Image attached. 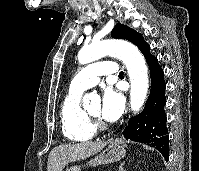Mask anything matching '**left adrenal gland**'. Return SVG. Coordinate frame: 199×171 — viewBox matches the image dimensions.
Segmentation results:
<instances>
[{
	"instance_id": "1",
	"label": "left adrenal gland",
	"mask_w": 199,
	"mask_h": 171,
	"mask_svg": "<svg viewBox=\"0 0 199 171\" xmlns=\"http://www.w3.org/2000/svg\"><path fill=\"white\" fill-rule=\"evenodd\" d=\"M124 164H125V162H122V163L120 164L119 170H118V171H126V170L124 169Z\"/></svg>"
}]
</instances>
